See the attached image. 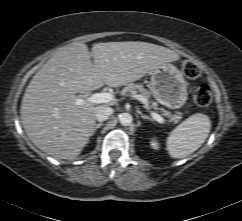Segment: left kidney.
<instances>
[{"label":"left kidney","mask_w":242,"mask_h":221,"mask_svg":"<svg viewBox=\"0 0 242 221\" xmlns=\"http://www.w3.org/2000/svg\"><path fill=\"white\" fill-rule=\"evenodd\" d=\"M151 146L153 149H156V150L159 148L158 142L156 140L151 141Z\"/></svg>","instance_id":"5707ae66"}]
</instances>
